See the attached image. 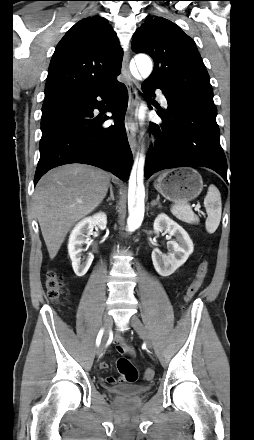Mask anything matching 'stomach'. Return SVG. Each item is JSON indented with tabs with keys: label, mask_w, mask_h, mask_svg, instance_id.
Listing matches in <instances>:
<instances>
[{
	"label": "stomach",
	"mask_w": 254,
	"mask_h": 440,
	"mask_svg": "<svg viewBox=\"0 0 254 440\" xmlns=\"http://www.w3.org/2000/svg\"><path fill=\"white\" fill-rule=\"evenodd\" d=\"M154 187L165 198L186 203L201 193L203 180L195 169L185 167L162 173L154 182Z\"/></svg>",
	"instance_id": "0dacf381"
}]
</instances>
